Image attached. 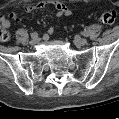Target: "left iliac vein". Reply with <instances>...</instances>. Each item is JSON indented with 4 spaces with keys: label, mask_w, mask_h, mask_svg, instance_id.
<instances>
[{
    "label": "left iliac vein",
    "mask_w": 119,
    "mask_h": 119,
    "mask_svg": "<svg viewBox=\"0 0 119 119\" xmlns=\"http://www.w3.org/2000/svg\"><path fill=\"white\" fill-rule=\"evenodd\" d=\"M74 42L77 46H84L88 43L87 39L85 38H76Z\"/></svg>",
    "instance_id": "left-iliac-vein-1"
}]
</instances>
